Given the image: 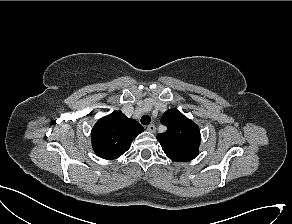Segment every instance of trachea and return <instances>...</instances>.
I'll use <instances>...</instances> for the list:
<instances>
[{"label":"trachea","mask_w":292,"mask_h":224,"mask_svg":"<svg viewBox=\"0 0 292 224\" xmlns=\"http://www.w3.org/2000/svg\"><path fill=\"white\" fill-rule=\"evenodd\" d=\"M150 122H151V117L148 116V115H144V116L141 118V123H142L143 125H148Z\"/></svg>","instance_id":"1"}]
</instances>
